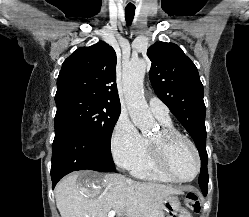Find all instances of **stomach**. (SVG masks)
Wrapping results in <instances>:
<instances>
[{"instance_id":"0dacf381","label":"stomach","mask_w":249,"mask_h":217,"mask_svg":"<svg viewBox=\"0 0 249 217\" xmlns=\"http://www.w3.org/2000/svg\"><path fill=\"white\" fill-rule=\"evenodd\" d=\"M162 209L168 214V217H173L180 210V203L177 197L168 195L162 202Z\"/></svg>"}]
</instances>
